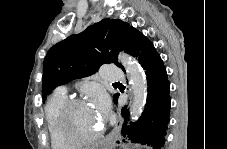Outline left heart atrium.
<instances>
[{"instance_id":"39dd6f15","label":"left heart atrium","mask_w":227,"mask_h":149,"mask_svg":"<svg viewBox=\"0 0 227 149\" xmlns=\"http://www.w3.org/2000/svg\"><path fill=\"white\" fill-rule=\"evenodd\" d=\"M95 104H96V109L99 116L101 117V119H104L107 116V112H108L107 98L102 94H98L96 96Z\"/></svg>"}]
</instances>
